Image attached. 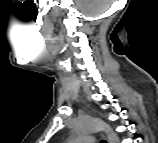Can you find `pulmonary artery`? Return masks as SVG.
Instances as JSON below:
<instances>
[{
    "instance_id": "obj_1",
    "label": "pulmonary artery",
    "mask_w": 158,
    "mask_h": 143,
    "mask_svg": "<svg viewBox=\"0 0 158 143\" xmlns=\"http://www.w3.org/2000/svg\"><path fill=\"white\" fill-rule=\"evenodd\" d=\"M84 139L87 140V141H93V137H86Z\"/></svg>"
}]
</instances>
